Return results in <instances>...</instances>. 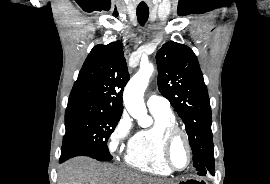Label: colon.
<instances>
[{
	"label": "colon",
	"instance_id": "5ec220e1",
	"mask_svg": "<svg viewBox=\"0 0 270 184\" xmlns=\"http://www.w3.org/2000/svg\"><path fill=\"white\" fill-rule=\"evenodd\" d=\"M196 184H205V183H196Z\"/></svg>",
	"mask_w": 270,
	"mask_h": 184
}]
</instances>
